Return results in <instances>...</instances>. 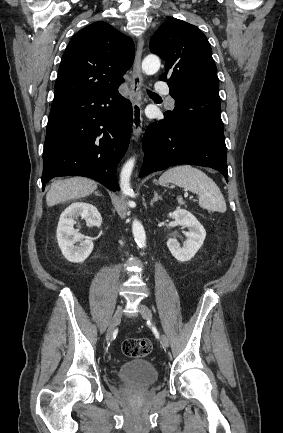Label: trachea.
<instances>
[{"mask_svg":"<svg viewBox=\"0 0 283 433\" xmlns=\"http://www.w3.org/2000/svg\"><path fill=\"white\" fill-rule=\"evenodd\" d=\"M147 93H148L149 95H158L157 93H154V92H152V91H148V90H147Z\"/></svg>","mask_w":283,"mask_h":433,"instance_id":"trachea-1","label":"trachea"}]
</instances>
